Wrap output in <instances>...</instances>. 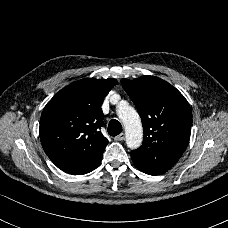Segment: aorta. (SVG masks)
<instances>
[{
  "mask_svg": "<svg viewBox=\"0 0 228 228\" xmlns=\"http://www.w3.org/2000/svg\"><path fill=\"white\" fill-rule=\"evenodd\" d=\"M116 115L125 127L127 148L130 150L140 148L143 140V129L137 111L128 101L123 100L116 105Z\"/></svg>",
  "mask_w": 228,
  "mask_h": 228,
  "instance_id": "aorta-1",
  "label": "aorta"
}]
</instances>
